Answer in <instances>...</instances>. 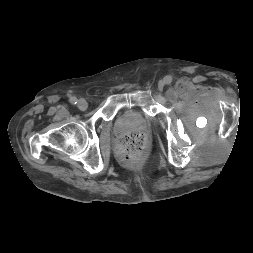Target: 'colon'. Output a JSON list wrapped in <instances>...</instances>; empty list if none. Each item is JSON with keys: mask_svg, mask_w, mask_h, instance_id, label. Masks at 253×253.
Returning <instances> with one entry per match:
<instances>
[{"mask_svg": "<svg viewBox=\"0 0 253 253\" xmlns=\"http://www.w3.org/2000/svg\"><path fill=\"white\" fill-rule=\"evenodd\" d=\"M145 147V136L138 131H132L123 135L116 143L118 155L130 163H136L142 159Z\"/></svg>", "mask_w": 253, "mask_h": 253, "instance_id": "colon-1", "label": "colon"}]
</instances>
